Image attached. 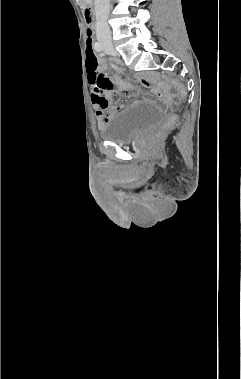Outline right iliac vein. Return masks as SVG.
I'll return each instance as SVG.
<instances>
[{"instance_id": "63e3f726", "label": "right iliac vein", "mask_w": 241, "mask_h": 379, "mask_svg": "<svg viewBox=\"0 0 241 379\" xmlns=\"http://www.w3.org/2000/svg\"><path fill=\"white\" fill-rule=\"evenodd\" d=\"M104 47H105V49H107L108 51H111V52H113V50H114L112 44H110V43L104 44Z\"/></svg>"}]
</instances>
